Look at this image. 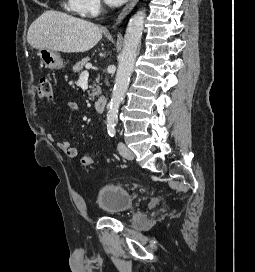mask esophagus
Listing matches in <instances>:
<instances>
[{
  "instance_id": "1",
  "label": "esophagus",
  "mask_w": 255,
  "mask_h": 272,
  "mask_svg": "<svg viewBox=\"0 0 255 272\" xmlns=\"http://www.w3.org/2000/svg\"><path fill=\"white\" fill-rule=\"evenodd\" d=\"M137 2L138 0H130L128 2V4L122 9L120 14L118 15V18L116 19L113 28H116L121 23V21L129 14V12L133 9Z\"/></svg>"
}]
</instances>
